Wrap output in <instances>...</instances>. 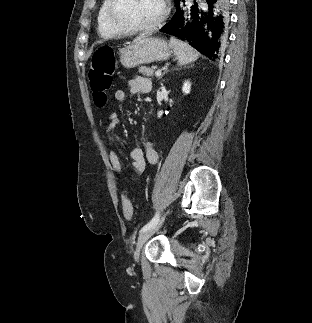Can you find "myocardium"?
Masks as SVG:
<instances>
[{"instance_id": "f54148a6", "label": "myocardium", "mask_w": 312, "mask_h": 323, "mask_svg": "<svg viewBox=\"0 0 312 323\" xmlns=\"http://www.w3.org/2000/svg\"><path fill=\"white\" fill-rule=\"evenodd\" d=\"M106 2L109 5L106 8L105 15L110 21H113L114 31H149L150 27L164 25L165 21L169 19L172 8L171 0H160V12L158 18H155V20H123V18H118L116 14L120 6L119 1L106 0Z\"/></svg>"}]
</instances>
